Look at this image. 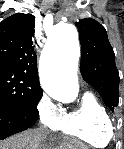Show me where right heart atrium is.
Returning a JSON list of instances; mask_svg holds the SVG:
<instances>
[{
    "mask_svg": "<svg viewBox=\"0 0 124 149\" xmlns=\"http://www.w3.org/2000/svg\"><path fill=\"white\" fill-rule=\"evenodd\" d=\"M37 115L43 126L56 130L63 118L64 113L49 96L44 94L37 104Z\"/></svg>",
    "mask_w": 124,
    "mask_h": 149,
    "instance_id": "obj_1",
    "label": "right heart atrium"
}]
</instances>
